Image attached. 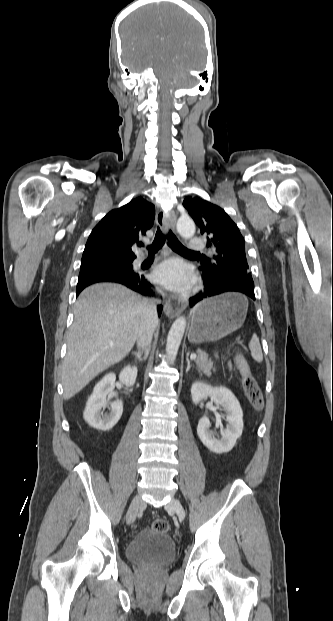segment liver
<instances>
[{
    "label": "liver",
    "mask_w": 333,
    "mask_h": 621,
    "mask_svg": "<svg viewBox=\"0 0 333 621\" xmlns=\"http://www.w3.org/2000/svg\"><path fill=\"white\" fill-rule=\"evenodd\" d=\"M144 302L119 284H94L81 292L62 364L66 400L128 355L141 327L153 319Z\"/></svg>",
    "instance_id": "6515ba94"
}]
</instances>
